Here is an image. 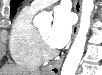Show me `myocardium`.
<instances>
[{"mask_svg":"<svg viewBox=\"0 0 102 75\" xmlns=\"http://www.w3.org/2000/svg\"><path fill=\"white\" fill-rule=\"evenodd\" d=\"M37 41H38L39 55L41 59L47 60L55 55L56 51L49 46V44L44 39L40 31H38L37 34Z\"/></svg>","mask_w":102,"mask_h":75,"instance_id":"obj_1","label":"myocardium"}]
</instances>
